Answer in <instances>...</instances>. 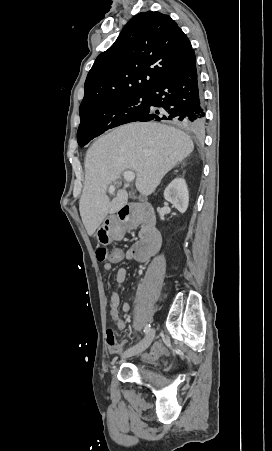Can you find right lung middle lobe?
Segmentation results:
<instances>
[{"label":"right lung middle lobe","mask_w":272,"mask_h":451,"mask_svg":"<svg viewBox=\"0 0 272 451\" xmlns=\"http://www.w3.org/2000/svg\"><path fill=\"white\" fill-rule=\"evenodd\" d=\"M149 107V95L138 94L109 100L80 113L78 144L82 147L110 128L138 120Z\"/></svg>","instance_id":"dd1d6c3e"}]
</instances>
